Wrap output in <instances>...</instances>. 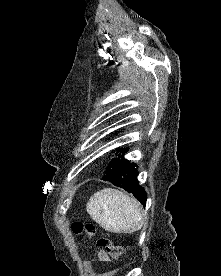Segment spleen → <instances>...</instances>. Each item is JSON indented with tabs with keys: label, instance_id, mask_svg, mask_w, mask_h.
<instances>
[{
	"label": "spleen",
	"instance_id": "spleen-1",
	"mask_svg": "<svg viewBox=\"0 0 221 276\" xmlns=\"http://www.w3.org/2000/svg\"><path fill=\"white\" fill-rule=\"evenodd\" d=\"M86 210L92 220L111 233H134L143 226L138 202L125 193L104 188L89 199Z\"/></svg>",
	"mask_w": 221,
	"mask_h": 276
}]
</instances>
